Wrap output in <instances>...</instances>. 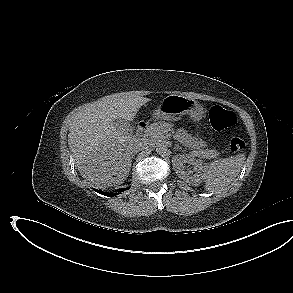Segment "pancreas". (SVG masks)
I'll return each instance as SVG.
<instances>
[{
	"label": "pancreas",
	"instance_id": "cf45deb5",
	"mask_svg": "<svg viewBox=\"0 0 293 293\" xmlns=\"http://www.w3.org/2000/svg\"><path fill=\"white\" fill-rule=\"evenodd\" d=\"M166 128L167 123L165 122L153 123L147 128L145 132V138L149 141H156L158 139H162L164 137ZM192 153L195 156L206 159L217 158L219 155V152H217L215 149H199L193 151Z\"/></svg>",
	"mask_w": 293,
	"mask_h": 293
}]
</instances>
